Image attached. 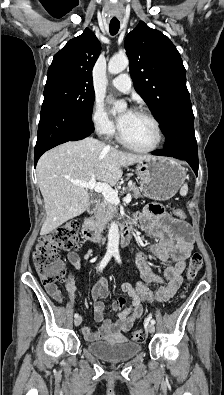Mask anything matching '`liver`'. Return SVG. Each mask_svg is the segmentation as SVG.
I'll return each mask as SVG.
<instances>
[{
	"mask_svg": "<svg viewBox=\"0 0 224 395\" xmlns=\"http://www.w3.org/2000/svg\"><path fill=\"white\" fill-rule=\"evenodd\" d=\"M146 158L108 148L92 137L64 143L43 154L36 168L46 210L40 234L50 233L86 210L90 199L87 189L71 181L95 179L113 186L121 178L123 167Z\"/></svg>",
	"mask_w": 224,
	"mask_h": 395,
	"instance_id": "liver-1",
	"label": "liver"
}]
</instances>
